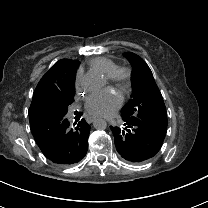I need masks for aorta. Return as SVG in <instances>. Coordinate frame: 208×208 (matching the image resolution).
<instances>
[{
  "instance_id": "762f6f07",
  "label": "aorta",
  "mask_w": 208,
  "mask_h": 208,
  "mask_svg": "<svg viewBox=\"0 0 208 208\" xmlns=\"http://www.w3.org/2000/svg\"><path fill=\"white\" fill-rule=\"evenodd\" d=\"M93 126L97 130H104L107 127V123L104 119L98 118L93 122Z\"/></svg>"
}]
</instances>
